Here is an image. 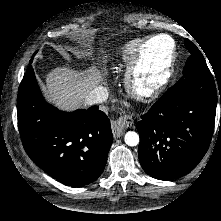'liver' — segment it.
Wrapping results in <instances>:
<instances>
[{
	"label": "liver",
	"mask_w": 221,
	"mask_h": 221,
	"mask_svg": "<svg viewBox=\"0 0 221 221\" xmlns=\"http://www.w3.org/2000/svg\"><path fill=\"white\" fill-rule=\"evenodd\" d=\"M103 74L95 66L85 71L57 67L46 76L44 93L59 109L73 111L79 108L89 93L103 81Z\"/></svg>",
	"instance_id": "obj_1"
}]
</instances>
